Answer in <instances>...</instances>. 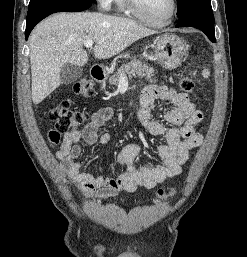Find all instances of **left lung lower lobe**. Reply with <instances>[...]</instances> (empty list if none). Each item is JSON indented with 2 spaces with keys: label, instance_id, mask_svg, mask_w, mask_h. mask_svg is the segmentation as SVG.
Wrapping results in <instances>:
<instances>
[{
  "label": "left lung lower lobe",
  "instance_id": "obj_1",
  "mask_svg": "<svg viewBox=\"0 0 247 257\" xmlns=\"http://www.w3.org/2000/svg\"><path fill=\"white\" fill-rule=\"evenodd\" d=\"M195 27L203 31L207 37L216 42L214 34V16L213 13L203 11H191L179 17L176 27Z\"/></svg>",
  "mask_w": 247,
  "mask_h": 257
}]
</instances>
